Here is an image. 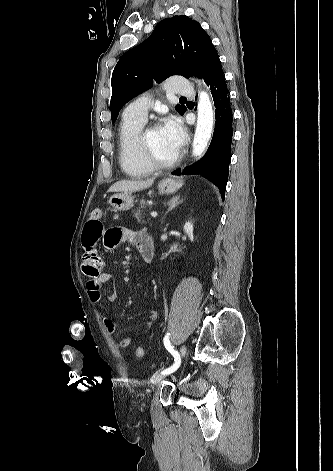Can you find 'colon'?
<instances>
[{"label": "colon", "mask_w": 333, "mask_h": 471, "mask_svg": "<svg viewBox=\"0 0 333 471\" xmlns=\"http://www.w3.org/2000/svg\"><path fill=\"white\" fill-rule=\"evenodd\" d=\"M101 216L102 211L99 208L94 209L90 214V218L94 220H98L99 218H101ZM135 352L137 357H142L144 355V349L141 346H138Z\"/></svg>", "instance_id": "1"}]
</instances>
